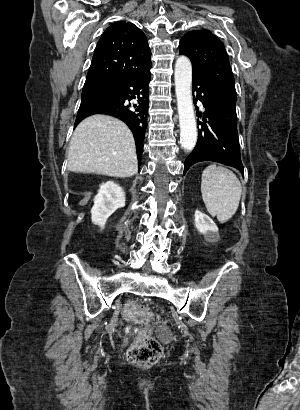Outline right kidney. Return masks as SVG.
<instances>
[{"instance_id": "right-kidney-1", "label": "right kidney", "mask_w": 300, "mask_h": 410, "mask_svg": "<svg viewBox=\"0 0 300 410\" xmlns=\"http://www.w3.org/2000/svg\"><path fill=\"white\" fill-rule=\"evenodd\" d=\"M124 206L125 193L122 188L113 181L102 183L91 209L92 222L103 229L109 216Z\"/></svg>"}]
</instances>
